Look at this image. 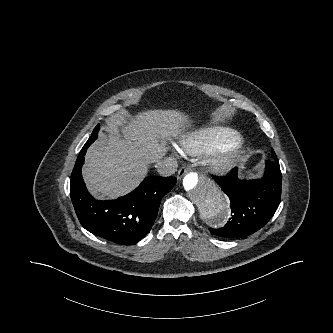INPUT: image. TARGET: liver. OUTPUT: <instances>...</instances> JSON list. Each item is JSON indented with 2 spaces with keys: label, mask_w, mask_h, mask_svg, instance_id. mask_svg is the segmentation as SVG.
<instances>
[{
  "label": "liver",
  "mask_w": 333,
  "mask_h": 333,
  "mask_svg": "<svg viewBox=\"0 0 333 333\" xmlns=\"http://www.w3.org/2000/svg\"><path fill=\"white\" fill-rule=\"evenodd\" d=\"M190 121L176 110H149L114 119L108 134L101 132L86 153L82 174L88 190L100 199H115L134 190L146 176L148 164L164 155L159 138L180 134Z\"/></svg>",
  "instance_id": "liver-1"
}]
</instances>
